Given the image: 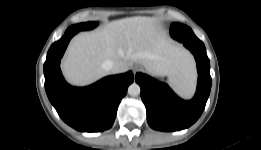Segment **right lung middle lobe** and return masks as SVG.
Segmentation results:
<instances>
[{
    "label": "right lung middle lobe",
    "mask_w": 261,
    "mask_h": 150,
    "mask_svg": "<svg viewBox=\"0 0 261 150\" xmlns=\"http://www.w3.org/2000/svg\"><path fill=\"white\" fill-rule=\"evenodd\" d=\"M97 25V23H93V22H88V23H81V24H77V25H73L71 27H69L68 29H77V30H88V29H92Z\"/></svg>",
    "instance_id": "1"
}]
</instances>
